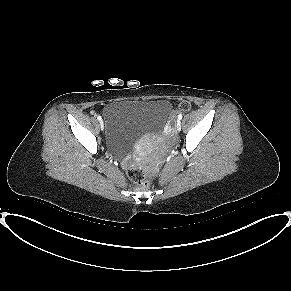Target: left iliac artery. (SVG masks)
<instances>
[{"label":"left iliac artery","mask_w":291,"mask_h":291,"mask_svg":"<svg viewBox=\"0 0 291 291\" xmlns=\"http://www.w3.org/2000/svg\"><path fill=\"white\" fill-rule=\"evenodd\" d=\"M182 117H183L182 114H179L178 115V120L180 121L182 119Z\"/></svg>","instance_id":"obj_1"}]
</instances>
